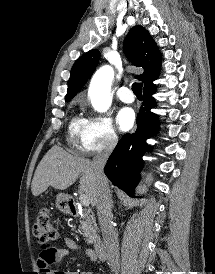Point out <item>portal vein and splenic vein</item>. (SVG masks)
<instances>
[{"mask_svg": "<svg viewBox=\"0 0 215 274\" xmlns=\"http://www.w3.org/2000/svg\"><path fill=\"white\" fill-rule=\"evenodd\" d=\"M79 200L82 203L83 206L88 207L90 204V201L88 197L85 194H80Z\"/></svg>", "mask_w": 215, "mask_h": 274, "instance_id": "18ae733b", "label": "portal vein and splenic vein"}]
</instances>
